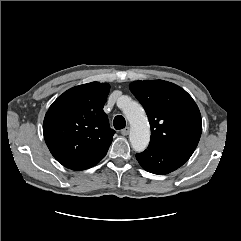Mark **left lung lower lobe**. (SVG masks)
<instances>
[{"label":"left lung lower lobe","instance_id":"1","mask_svg":"<svg viewBox=\"0 0 241 241\" xmlns=\"http://www.w3.org/2000/svg\"><path fill=\"white\" fill-rule=\"evenodd\" d=\"M193 152L191 149L149 144L147 150L136 154V158L146 171L164 175L181 167Z\"/></svg>","mask_w":241,"mask_h":241}]
</instances>
